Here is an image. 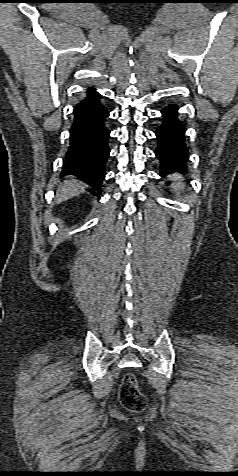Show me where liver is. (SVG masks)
Here are the masks:
<instances>
[{
    "label": "liver",
    "mask_w": 238,
    "mask_h": 476,
    "mask_svg": "<svg viewBox=\"0 0 238 476\" xmlns=\"http://www.w3.org/2000/svg\"><path fill=\"white\" fill-rule=\"evenodd\" d=\"M67 178L71 179L65 180L63 185H61L57 190L55 198L57 204L64 202L70 198H73L85 191V184L79 182L78 180L70 176H68Z\"/></svg>",
    "instance_id": "6515ba94"
}]
</instances>
